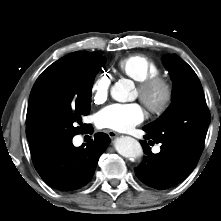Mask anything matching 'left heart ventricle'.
Listing matches in <instances>:
<instances>
[{"label":"left heart ventricle","instance_id":"b2bd125f","mask_svg":"<svg viewBox=\"0 0 221 221\" xmlns=\"http://www.w3.org/2000/svg\"><path fill=\"white\" fill-rule=\"evenodd\" d=\"M137 94H138V96H139V94H140V93H139V90L137 91ZM158 97H159V94L156 95V98H158Z\"/></svg>","mask_w":221,"mask_h":221}]
</instances>
